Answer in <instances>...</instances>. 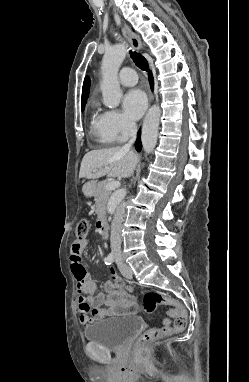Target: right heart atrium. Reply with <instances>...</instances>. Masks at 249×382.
Wrapping results in <instances>:
<instances>
[{"label":"right heart atrium","instance_id":"right-heart-atrium-1","mask_svg":"<svg viewBox=\"0 0 249 382\" xmlns=\"http://www.w3.org/2000/svg\"><path fill=\"white\" fill-rule=\"evenodd\" d=\"M101 123L105 133L115 142L124 141L136 130L135 123L118 110L103 112Z\"/></svg>","mask_w":249,"mask_h":382}]
</instances>
